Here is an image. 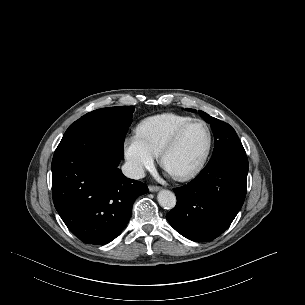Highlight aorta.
Wrapping results in <instances>:
<instances>
[{
  "label": "aorta",
  "mask_w": 305,
  "mask_h": 305,
  "mask_svg": "<svg viewBox=\"0 0 305 305\" xmlns=\"http://www.w3.org/2000/svg\"><path fill=\"white\" fill-rule=\"evenodd\" d=\"M157 199L160 206L165 209H172L176 205V196L169 190H161L158 193Z\"/></svg>",
  "instance_id": "obj_1"
}]
</instances>
